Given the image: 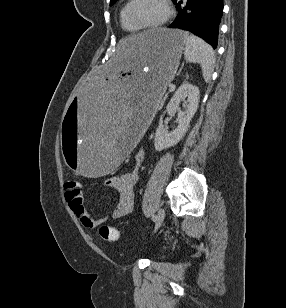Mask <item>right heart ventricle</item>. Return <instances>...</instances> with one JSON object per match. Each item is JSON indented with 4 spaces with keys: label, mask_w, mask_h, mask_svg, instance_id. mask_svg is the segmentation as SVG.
Segmentation results:
<instances>
[{
    "label": "right heart ventricle",
    "mask_w": 286,
    "mask_h": 308,
    "mask_svg": "<svg viewBox=\"0 0 286 308\" xmlns=\"http://www.w3.org/2000/svg\"><path fill=\"white\" fill-rule=\"evenodd\" d=\"M129 5H130V0H126L120 9L119 13L120 25L124 31L128 33H136L140 31V29L134 26L128 18Z\"/></svg>",
    "instance_id": "right-heart-ventricle-1"
}]
</instances>
